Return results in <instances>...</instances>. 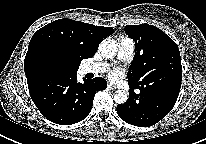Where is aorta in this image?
Wrapping results in <instances>:
<instances>
[{
	"instance_id": "762f6f07",
	"label": "aorta",
	"mask_w": 206,
	"mask_h": 144,
	"mask_svg": "<svg viewBox=\"0 0 206 144\" xmlns=\"http://www.w3.org/2000/svg\"><path fill=\"white\" fill-rule=\"evenodd\" d=\"M99 51L104 57L113 58L118 51L117 44L112 39H104L99 44ZM113 96L117 104H124L128 99V93L125 90H116Z\"/></svg>"
}]
</instances>
